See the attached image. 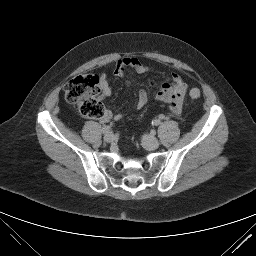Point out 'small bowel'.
I'll list each match as a JSON object with an SVG mask.
<instances>
[{"label":"small bowel","mask_w":256,"mask_h":256,"mask_svg":"<svg viewBox=\"0 0 256 256\" xmlns=\"http://www.w3.org/2000/svg\"><path fill=\"white\" fill-rule=\"evenodd\" d=\"M127 68H133L138 73H147L151 69L145 65L141 60L135 57H127L121 59L115 68V74L118 76H124ZM100 87L102 90L101 97L107 98L111 95V87L106 78V75L100 77ZM187 91V84L177 72H173L170 75L169 81L163 83L156 94V99L160 102L168 104L169 109L175 115H179L182 111V105L184 96ZM148 101V94L145 90H139L137 94V106L142 108ZM112 119H122V114L113 115L110 111H106L102 122H108Z\"/></svg>","instance_id":"obj_1"}]
</instances>
